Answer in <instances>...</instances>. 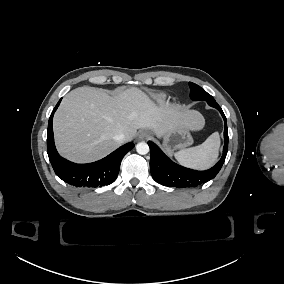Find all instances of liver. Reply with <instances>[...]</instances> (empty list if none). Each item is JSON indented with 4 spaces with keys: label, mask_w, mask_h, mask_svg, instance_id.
I'll use <instances>...</instances> for the list:
<instances>
[{
    "label": "liver",
    "mask_w": 284,
    "mask_h": 284,
    "mask_svg": "<svg viewBox=\"0 0 284 284\" xmlns=\"http://www.w3.org/2000/svg\"><path fill=\"white\" fill-rule=\"evenodd\" d=\"M176 126L200 132L205 119L179 107L157 108L134 89L111 97L101 89L77 88L64 97L54 118L59 151L76 161L95 160L117 148V133L129 141L138 129H148L163 138Z\"/></svg>",
    "instance_id": "liver-1"
}]
</instances>
